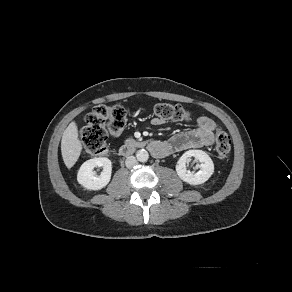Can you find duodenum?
Masks as SVG:
<instances>
[{
	"label": "duodenum",
	"instance_id": "duodenum-1",
	"mask_svg": "<svg viewBox=\"0 0 292 292\" xmlns=\"http://www.w3.org/2000/svg\"><path fill=\"white\" fill-rule=\"evenodd\" d=\"M147 146L145 142L127 140L120 148V154L122 156H128L132 154L137 148H142Z\"/></svg>",
	"mask_w": 292,
	"mask_h": 292
}]
</instances>
